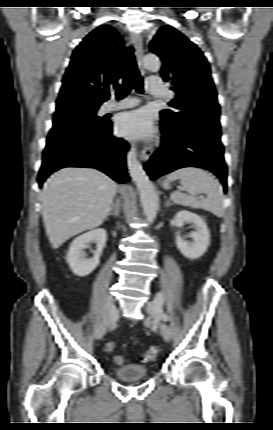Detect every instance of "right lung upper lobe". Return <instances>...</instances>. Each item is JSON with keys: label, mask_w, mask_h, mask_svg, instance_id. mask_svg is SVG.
I'll return each mask as SVG.
<instances>
[{"label": "right lung upper lobe", "mask_w": 273, "mask_h": 430, "mask_svg": "<svg viewBox=\"0 0 273 430\" xmlns=\"http://www.w3.org/2000/svg\"><path fill=\"white\" fill-rule=\"evenodd\" d=\"M117 32L102 25L89 33L73 51L63 77L57 106L71 100L100 105L109 90L119 86L125 48L116 42Z\"/></svg>", "instance_id": "right-lung-upper-lobe-1"}]
</instances>
